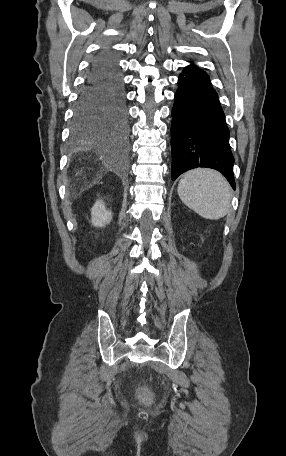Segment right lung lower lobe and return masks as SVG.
<instances>
[{"label":"right lung lower lobe","mask_w":286,"mask_h":456,"mask_svg":"<svg viewBox=\"0 0 286 456\" xmlns=\"http://www.w3.org/2000/svg\"><path fill=\"white\" fill-rule=\"evenodd\" d=\"M95 123L112 127L126 124L128 114L121 72L107 52L100 53L92 62L86 84L80 92L73 120L79 131ZM119 137L121 134L113 130Z\"/></svg>","instance_id":"right-lung-lower-lobe-1"}]
</instances>
